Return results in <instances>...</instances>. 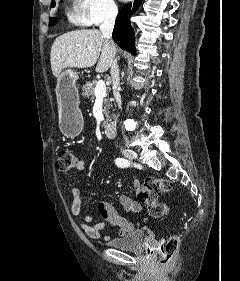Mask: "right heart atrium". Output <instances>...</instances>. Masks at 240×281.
I'll use <instances>...</instances> for the list:
<instances>
[{
    "instance_id": "right-heart-atrium-1",
    "label": "right heart atrium",
    "mask_w": 240,
    "mask_h": 281,
    "mask_svg": "<svg viewBox=\"0 0 240 281\" xmlns=\"http://www.w3.org/2000/svg\"><path fill=\"white\" fill-rule=\"evenodd\" d=\"M86 11L93 25L114 19L118 14L115 0H86Z\"/></svg>"
}]
</instances>
